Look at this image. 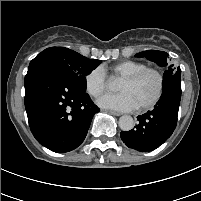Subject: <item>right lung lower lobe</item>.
Masks as SVG:
<instances>
[{
	"instance_id": "obj_1",
	"label": "right lung lower lobe",
	"mask_w": 201,
	"mask_h": 201,
	"mask_svg": "<svg viewBox=\"0 0 201 201\" xmlns=\"http://www.w3.org/2000/svg\"><path fill=\"white\" fill-rule=\"evenodd\" d=\"M24 102L35 139L58 153L77 148L100 111L72 80L47 67L28 70Z\"/></svg>"
}]
</instances>
